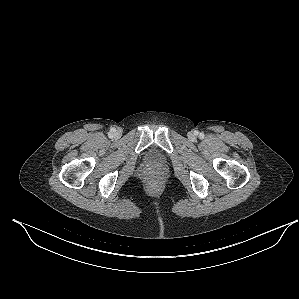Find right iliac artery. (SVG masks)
<instances>
[{"instance_id": "obj_1", "label": "right iliac artery", "mask_w": 299, "mask_h": 299, "mask_svg": "<svg viewBox=\"0 0 299 299\" xmlns=\"http://www.w3.org/2000/svg\"><path fill=\"white\" fill-rule=\"evenodd\" d=\"M116 130L114 128H111L110 135L113 134Z\"/></svg>"}]
</instances>
